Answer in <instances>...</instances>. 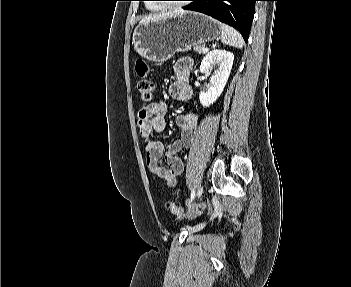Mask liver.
Instances as JSON below:
<instances>
[{"label":"liver","instance_id":"1","mask_svg":"<svg viewBox=\"0 0 351 287\" xmlns=\"http://www.w3.org/2000/svg\"><path fill=\"white\" fill-rule=\"evenodd\" d=\"M185 13H188L187 11H184L182 9H179V10H175L173 12H168V13H162V14H155V15H149V16H146L144 17L140 23H143V22H147V21H151V20H155V19H162V18H167V17H171V16H174V15H180V14H185Z\"/></svg>","mask_w":351,"mask_h":287}]
</instances>
